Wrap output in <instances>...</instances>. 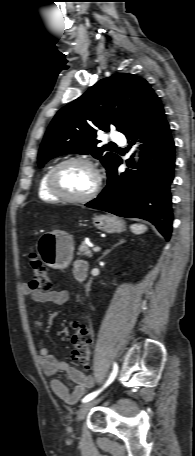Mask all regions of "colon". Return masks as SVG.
<instances>
[{"mask_svg":"<svg viewBox=\"0 0 195 456\" xmlns=\"http://www.w3.org/2000/svg\"><path fill=\"white\" fill-rule=\"evenodd\" d=\"M29 261L33 272V278L29 286L32 289H37L42 292H49L52 287V282L46 266L34 253L30 254ZM69 325L73 331L71 337V342L73 345V357L75 360L79 361L82 365L88 368L91 359V332L85 323L79 318L70 320Z\"/></svg>","mask_w":195,"mask_h":456,"instance_id":"obj_1","label":"colon"}]
</instances>
